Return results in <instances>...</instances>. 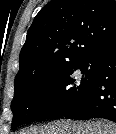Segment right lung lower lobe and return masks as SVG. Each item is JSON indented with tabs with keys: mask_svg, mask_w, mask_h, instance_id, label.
Masks as SVG:
<instances>
[{
	"mask_svg": "<svg viewBox=\"0 0 116 134\" xmlns=\"http://www.w3.org/2000/svg\"><path fill=\"white\" fill-rule=\"evenodd\" d=\"M95 76L80 99L51 119L104 118L116 123V46L97 55Z\"/></svg>",
	"mask_w": 116,
	"mask_h": 134,
	"instance_id": "right-lung-lower-lobe-1",
	"label": "right lung lower lobe"
}]
</instances>
